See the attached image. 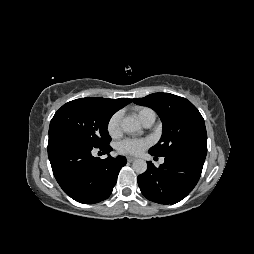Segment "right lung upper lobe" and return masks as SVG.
<instances>
[{
	"mask_svg": "<svg viewBox=\"0 0 254 254\" xmlns=\"http://www.w3.org/2000/svg\"><path fill=\"white\" fill-rule=\"evenodd\" d=\"M104 101L110 106L113 111H118L119 109L123 108L125 105L131 102L129 98H119V99H106L102 98Z\"/></svg>",
	"mask_w": 254,
	"mask_h": 254,
	"instance_id": "right-lung-upper-lobe-1",
	"label": "right lung upper lobe"
}]
</instances>
